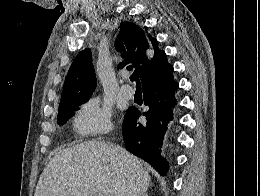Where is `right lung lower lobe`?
<instances>
[{
  "instance_id": "right-lung-lower-lobe-1",
  "label": "right lung lower lobe",
  "mask_w": 260,
  "mask_h": 196,
  "mask_svg": "<svg viewBox=\"0 0 260 196\" xmlns=\"http://www.w3.org/2000/svg\"><path fill=\"white\" fill-rule=\"evenodd\" d=\"M178 87V82L173 79V70L157 80L143 83V100L148 110L142 115L146 122H137L140 112L134 107L127 110L123 122L126 149L150 163L162 175L167 172L168 162L160 157V148L168 125L173 120L172 108L177 101L174 93Z\"/></svg>"
}]
</instances>
